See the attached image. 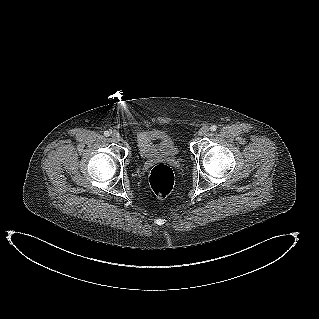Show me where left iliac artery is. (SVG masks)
<instances>
[{"instance_id": "obj_1", "label": "left iliac artery", "mask_w": 319, "mask_h": 319, "mask_svg": "<svg viewBox=\"0 0 319 319\" xmlns=\"http://www.w3.org/2000/svg\"><path fill=\"white\" fill-rule=\"evenodd\" d=\"M216 129H217V127H216L215 125H212V126L210 127V130H211V131H216Z\"/></svg>"}]
</instances>
